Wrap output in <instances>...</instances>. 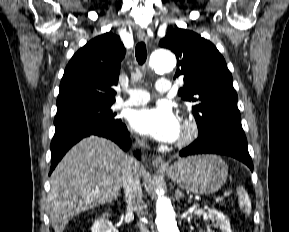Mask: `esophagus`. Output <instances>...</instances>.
I'll use <instances>...</instances> for the list:
<instances>
[{
  "instance_id": "1",
  "label": "esophagus",
  "mask_w": 289,
  "mask_h": 232,
  "mask_svg": "<svg viewBox=\"0 0 289 232\" xmlns=\"http://www.w3.org/2000/svg\"><path fill=\"white\" fill-rule=\"evenodd\" d=\"M137 37L140 41H148V37L145 33V31L143 29H139L138 33H137ZM153 166L156 169H166L167 168V164L164 162L163 158L160 156H156L153 160Z\"/></svg>"
}]
</instances>
